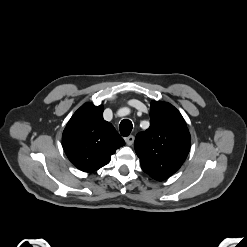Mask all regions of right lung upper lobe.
Returning a JSON list of instances; mask_svg holds the SVG:
<instances>
[{"instance_id":"cb5924a9","label":"right lung upper lobe","mask_w":247,"mask_h":247,"mask_svg":"<svg viewBox=\"0 0 247 247\" xmlns=\"http://www.w3.org/2000/svg\"><path fill=\"white\" fill-rule=\"evenodd\" d=\"M125 144L113 125L103 119V106L86 103L67 123L63 149L78 169L94 172L108 164L111 155Z\"/></svg>"}]
</instances>
